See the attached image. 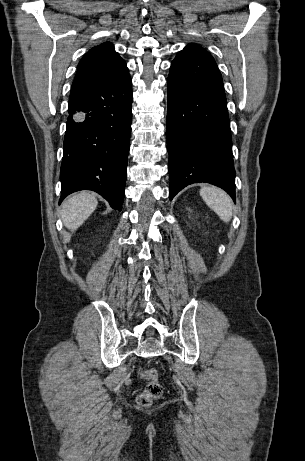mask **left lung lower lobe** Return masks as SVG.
I'll return each mask as SVG.
<instances>
[{
    "instance_id": "1",
    "label": "left lung lower lobe",
    "mask_w": 305,
    "mask_h": 461,
    "mask_svg": "<svg viewBox=\"0 0 305 461\" xmlns=\"http://www.w3.org/2000/svg\"><path fill=\"white\" fill-rule=\"evenodd\" d=\"M167 86L170 200L198 182L220 186L235 200L227 101L213 57L180 51L171 63Z\"/></svg>"
}]
</instances>
